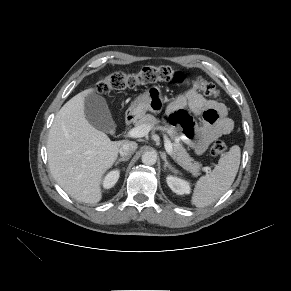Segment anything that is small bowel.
<instances>
[{
    "mask_svg": "<svg viewBox=\"0 0 291 291\" xmlns=\"http://www.w3.org/2000/svg\"><path fill=\"white\" fill-rule=\"evenodd\" d=\"M201 116L196 123L188 111ZM170 122L182 130L185 143L196 153L202 154L217 138L228 135L233 122L227 115L224 104L205 98L195 90L178 95L168 106Z\"/></svg>",
    "mask_w": 291,
    "mask_h": 291,
    "instance_id": "obj_1",
    "label": "small bowel"
}]
</instances>
